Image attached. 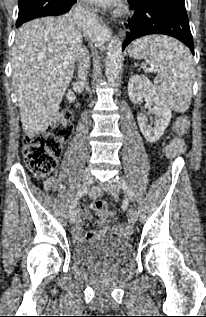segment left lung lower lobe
<instances>
[{"mask_svg": "<svg viewBox=\"0 0 206 317\" xmlns=\"http://www.w3.org/2000/svg\"><path fill=\"white\" fill-rule=\"evenodd\" d=\"M134 16L125 24L127 36L122 50L134 39L149 34L177 38L194 54V44L185 5L171 0H128Z\"/></svg>", "mask_w": 206, "mask_h": 317, "instance_id": "0a47b994", "label": "left lung lower lobe"}]
</instances>
